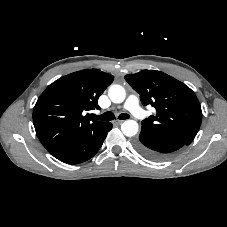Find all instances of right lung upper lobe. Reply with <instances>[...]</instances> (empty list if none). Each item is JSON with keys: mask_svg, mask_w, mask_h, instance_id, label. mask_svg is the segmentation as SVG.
I'll list each match as a JSON object with an SVG mask.
<instances>
[{"mask_svg": "<svg viewBox=\"0 0 227 227\" xmlns=\"http://www.w3.org/2000/svg\"><path fill=\"white\" fill-rule=\"evenodd\" d=\"M113 79L101 70L85 69L59 78L45 89L33 109V122L50 154L106 124L92 120L86 112L100 109L98 98Z\"/></svg>", "mask_w": 227, "mask_h": 227, "instance_id": "right-lung-upper-lobe-1", "label": "right lung upper lobe"}]
</instances>
